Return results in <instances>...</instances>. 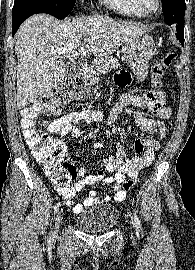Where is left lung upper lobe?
I'll return each mask as SVG.
<instances>
[{
    "label": "left lung upper lobe",
    "mask_w": 195,
    "mask_h": 270,
    "mask_svg": "<svg viewBox=\"0 0 195 270\" xmlns=\"http://www.w3.org/2000/svg\"><path fill=\"white\" fill-rule=\"evenodd\" d=\"M165 23H184L186 4L184 0H162Z\"/></svg>",
    "instance_id": "obj_1"
}]
</instances>
